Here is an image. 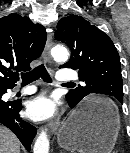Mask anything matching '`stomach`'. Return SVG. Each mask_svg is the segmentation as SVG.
<instances>
[{"mask_svg": "<svg viewBox=\"0 0 130 153\" xmlns=\"http://www.w3.org/2000/svg\"><path fill=\"white\" fill-rule=\"evenodd\" d=\"M89 109L90 113L83 115ZM120 130V115L108 98L91 97L73 110L62 123L57 140L60 147L80 153H111Z\"/></svg>", "mask_w": 130, "mask_h": 153, "instance_id": "1", "label": "stomach"}]
</instances>
